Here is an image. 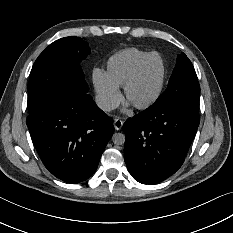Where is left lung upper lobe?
<instances>
[{
    "label": "left lung upper lobe",
    "mask_w": 233,
    "mask_h": 233,
    "mask_svg": "<svg viewBox=\"0 0 233 233\" xmlns=\"http://www.w3.org/2000/svg\"><path fill=\"white\" fill-rule=\"evenodd\" d=\"M200 86L191 61L181 53L164 93L153 106L199 105Z\"/></svg>",
    "instance_id": "1"
}]
</instances>
